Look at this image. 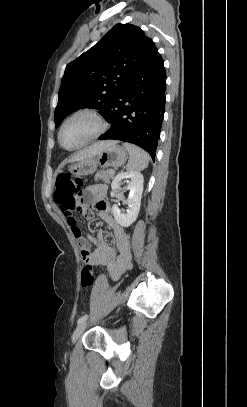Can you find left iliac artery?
<instances>
[{"mask_svg":"<svg viewBox=\"0 0 247 407\" xmlns=\"http://www.w3.org/2000/svg\"><path fill=\"white\" fill-rule=\"evenodd\" d=\"M87 318H88V315H87V314H86V315H83L82 317H80V318L78 319V322H77V323L80 324V323L86 321Z\"/></svg>","mask_w":247,"mask_h":407,"instance_id":"1","label":"left iliac artery"}]
</instances>
